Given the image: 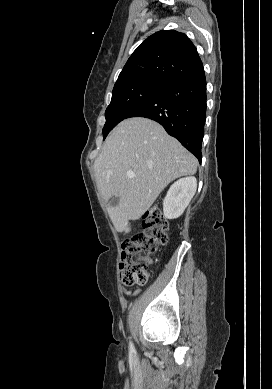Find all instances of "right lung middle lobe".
Returning <instances> with one entry per match:
<instances>
[{
    "mask_svg": "<svg viewBox=\"0 0 272 389\" xmlns=\"http://www.w3.org/2000/svg\"><path fill=\"white\" fill-rule=\"evenodd\" d=\"M166 84L142 80L114 87L111 103L105 111L104 139L108 133L139 104L159 91Z\"/></svg>",
    "mask_w": 272,
    "mask_h": 389,
    "instance_id": "right-lung-middle-lobe-1",
    "label": "right lung middle lobe"
}]
</instances>
